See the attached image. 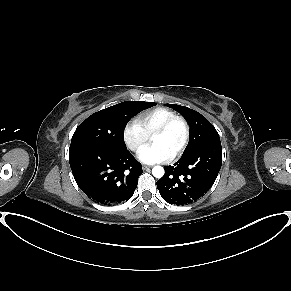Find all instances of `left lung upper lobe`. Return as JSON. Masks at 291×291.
Listing matches in <instances>:
<instances>
[{"label":"left lung upper lobe","instance_id":"left-lung-upper-lobe-1","mask_svg":"<svg viewBox=\"0 0 291 291\" xmlns=\"http://www.w3.org/2000/svg\"><path fill=\"white\" fill-rule=\"evenodd\" d=\"M179 112L190 126V141L183 155L212 143H220V137L215 127L200 113L185 106L167 104Z\"/></svg>","mask_w":291,"mask_h":291}]
</instances>
